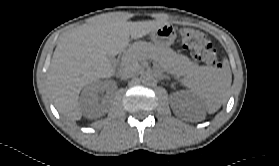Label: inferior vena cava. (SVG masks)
Wrapping results in <instances>:
<instances>
[{"mask_svg":"<svg viewBox=\"0 0 279 166\" xmlns=\"http://www.w3.org/2000/svg\"><path fill=\"white\" fill-rule=\"evenodd\" d=\"M136 74V70L133 68H123L120 72H119V77L123 80L131 78L133 76H135Z\"/></svg>","mask_w":279,"mask_h":166,"instance_id":"1","label":"inferior vena cava"}]
</instances>
